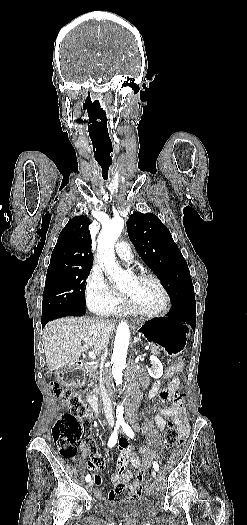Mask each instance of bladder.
Returning a JSON list of instances; mask_svg holds the SVG:
<instances>
[{
    "label": "bladder",
    "mask_w": 247,
    "mask_h": 525,
    "mask_svg": "<svg viewBox=\"0 0 247 525\" xmlns=\"http://www.w3.org/2000/svg\"><path fill=\"white\" fill-rule=\"evenodd\" d=\"M154 504L153 497L144 495L138 498L110 501L106 503V508L109 514L118 518H138L147 515Z\"/></svg>",
    "instance_id": "obj_1"
}]
</instances>
